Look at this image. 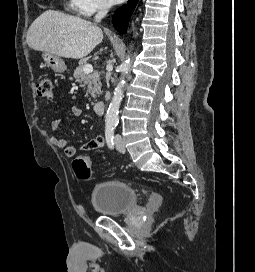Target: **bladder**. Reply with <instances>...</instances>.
I'll list each match as a JSON object with an SVG mask.
<instances>
[{
  "label": "bladder",
  "mask_w": 255,
  "mask_h": 272,
  "mask_svg": "<svg viewBox=\"0 0 255 272\" xmlns=\"http://www.w3.org/2000/svg\"><path fill=\"white\" fill-rule=\"evenodd\" d=\"M90 199L94 210L101 216H120L138 205L135 190L121 181H106L93 187Z\"/></svg>",
  "instance_id": "1"
}]
</instances>
